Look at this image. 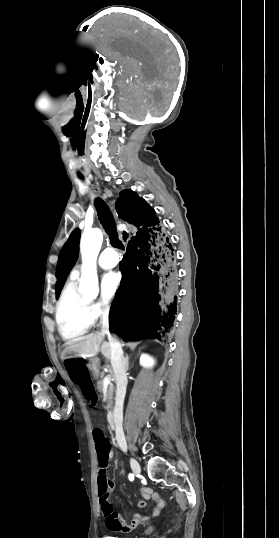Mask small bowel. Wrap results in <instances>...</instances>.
Masks as SVG:
<instances>
[{
  "label": "small bowel",
  "instance_id": "small-bowel-1",
  "mask_svg": "<svg viewBox=\"0 0 279 538\" xmlns=\"http://www.w3.org/2000/svg\"><path fill=\"white\" fill-rule=\"evenodd\" d=\"M113 453L111 451L110 458L112 457ZM141 494L144 499H152L153 500V507H152V513L151 514H145V515H139L135 514L132 516L130 522H125L122 520L116 513H113L111 516L105 517V523L107 528H109L112 531H119V532H129L134 530L139 524L147 521L152 515L156 516L159 514L163 502L161 498L154 494L149 488L142 486L140 488ZM146 502L144 500H141L137 503V507L140 509H144L146 507Z\"/></svg>",
  "mask_w": 279,
  "mask_h": 538
}]
</instances>
